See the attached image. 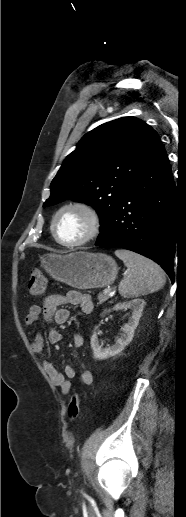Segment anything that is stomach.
<instances>
[{
    "label": "stomach",
    "mask_w": 186,
    "mask_h": 517,
    "mask_svg": "<svg viewBox=\"0 0 186 517\" xmlns=\"http://www.w3.org/2000/svg\"><path fill=\"white\" fill-rule=\"evenodd\" d=\"M41 266L55 280L77 289L103 288L117 276L115 260L103 253L76 251L66 255L46 254Z\"/></svg>",
    "instance_id": "obj_1"
}]
</instances>
